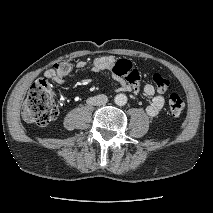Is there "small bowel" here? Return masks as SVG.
<instances>
[{"instance_id":"c3829d8e","label":"small bowel","mask_w":213,"mask_h":213,"mask_svg":"<svg viewBox=\"0 0 213 213\" xmlns=\"http://www.w3.org/2000/svg\"><path fill=\"white\" fill-rule=\"evenodd\" d=\"M73 67L78 69H84L89 67L92 72L98 73L107 71L111 74L112 78L118 84L117 90L119 92H133L138 94L144 93L150 97V104L146 107V113L150 117H156L162 110L165 100L164 97L156 92L155 87L152 84H145L141 86L140 74L133 68L132 73L127 77H120L113 72L116 64V59L113 56H99L91 60L90 62L84 60L73 61ZM44 76L52 81L62 83L65 80V76L57 74L55 68H49L45 71Z\"/></svg>"}]
</instances>
